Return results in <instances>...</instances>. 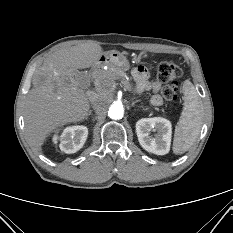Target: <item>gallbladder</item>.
Listing matches in <instances>:
<instances>
[{
    "label": "gallbladder",
    "mask_w": 233,
    "mask_h": 233,
    "mask_svg": "<svg viewBox=\"0 0 233 233\" xmlns=\"http://www.w3.org/2000/svg\"><path fill=\"white\" fill-rule=\"evenodd\" d=\"M76 77H77L78 80H79V78H80V73H79V72H76Z\"/></svg>",
    "instance_id": "1"
}]
</instances>
